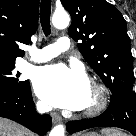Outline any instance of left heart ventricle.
I'll return each instance as SVG.
<instances>
[{
	"label": "left heart ventricle",
	"instance_id": "1",
	"mask_svg": "<svg viewBox=\"0 0 136 136\" xmlns=\"http://www.w3.org/2000/svg\"><path fill=\"white\" fill-rule=\"evenodd\" d=\"M94 100V92L92 90V88L89 86V90H88V95H87V99H86V103L84 107L89 106Z\"/></svg>",
	"mask_w": 136,
	"mask_h": 136
}]
</instances>
